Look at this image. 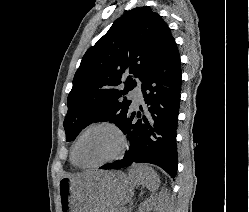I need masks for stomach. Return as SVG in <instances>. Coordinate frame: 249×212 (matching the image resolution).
<instances>
[{"instance_id": "1", "label": "stomach", "mask_w": 249, "mask_h": 212, "mask_svg": "<svg viewBox=\"0 0 249 212\" xmlns=\"http://www.w3.org/2000/svg\"><path fill=\"white\" fill-rule=\"evenodd\" d=\"M135 184H129L126 170H85V175H70L58 184L62 212H107L127 204Z\"/></svg>"}]
</instances>
